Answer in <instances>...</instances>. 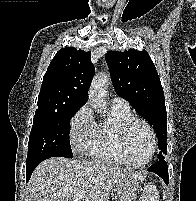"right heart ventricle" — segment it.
Masks as SVG:
<instances>
[{
  "label": "right heart ventricle",
  "instance_id": "right-heart-ventricle-1",
  "mask_svg": "<svg viewBox=\"0 0 196 201\" xmlns=\"http://www.w3.org/2000/svg\"><path fill=\"white\" fill-rule=\"evenodd\" d=\"M134 118L130 108H118L112 106L109 119L96 123V132L89 155L98 161L112 162L116 164H129L125 158L119 143L121 126Z\"/></svg>",
  "mask_w": 196,
  "mask_h": 201
}]
</instances>
